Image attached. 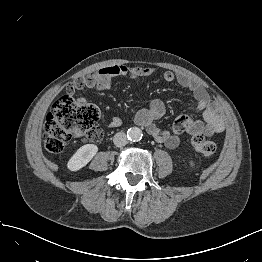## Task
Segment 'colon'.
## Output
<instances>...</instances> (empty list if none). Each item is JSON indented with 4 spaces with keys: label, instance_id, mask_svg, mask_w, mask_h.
<instances>
[{
    "label": "colon",
    "instance_id": "colon-1",
    "mask_svg": "<svg viewBox=\"0 0 262 262\" xmlns=\"http://www.w3.org/2000/svg\"><path fill=\"white\" fill-rule=\"evenodd\" d=\"M90 75L77 78L66 87V94L60 97L47 114L43 127V142L51 153H59L72 139L97 140L101 132L96 124L99 120V109L92 103L75 97L77 90L84 87ZM191 146L201 155L211 157L217 151L214 141L202 133L191 137Z\"/></svg>",
    "mask_w": 262,
    "mask_h": 262
}]
</instances>
